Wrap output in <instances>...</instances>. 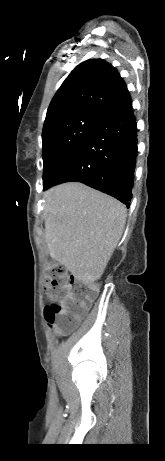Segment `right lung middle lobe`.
I'll return each mask as SVG.
<instances>
[{
    "mask_svg": "<svg viewBox=\"0 0 165 461\" xmlns=\"http://www.w3.org/2000/svg\"><path fill=\"white\" fill-rule=\"evenodd\" d=\"M102 121L81 115L54 120L43 128V186Z\"/></svg>",
    "mask_w": 165,
    "mask_h": 461,
    "instance_id": "obj_1",
    "label": "right lung middle lobe"
}]
</instances>
